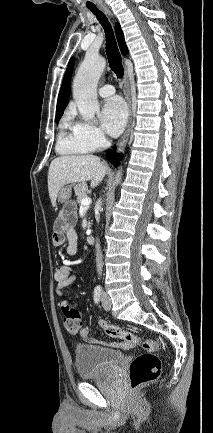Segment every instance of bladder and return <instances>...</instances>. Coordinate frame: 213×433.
Listing matches in <instances>:
<instances>
[{
  "label": "bladder",
  "instance_id": "bladder-1",
  "mask_svg": "<svg viewBox=\"0 0 213 433\" xmlns=\"http://www.w3.org/2000/svg\"><path fill=\"white\" fill-rule=\"evenodd\" d=\"M125 358L121 351L78 344L75 347V365L81 379L100 378L110 374Z\"/></svg>",
  "mask_w": 213,
  "mask_h": 433
}]
</instances>
